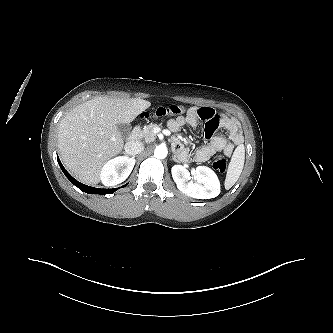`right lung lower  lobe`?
I'll list each match as a JSON object with an SVG mask.
<instances>
[{
  "instance_id": "right-lung-lower-lobe-1",
  "label": "right lung lower lobe",
  "mask_w": 333,
  "mask_h": 333,
  "mask_svg": "<svg viewBox=\"0 0 333 333\" xmlns=\"http://www.w3.org/2000/svg\"><path fill=\"white\" fill-rule=\"evenodd\" d=\"M59 166L61 168V170L63 171V173L65 174V176L70 180V182L75 185L76 187H78L81 191L86 192L88 194H111L113 192H115L118 188L115 189H100V188H94L91 186H87L85 184H82L80 182H78L75 178H73L64 168V166L62 165L61 161L59 158H57Z\"/></svg>"
}]
</instances>
